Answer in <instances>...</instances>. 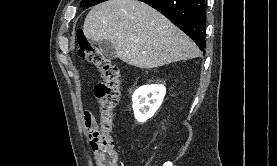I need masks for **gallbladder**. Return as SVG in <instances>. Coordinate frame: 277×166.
Masks as SVG:
<instances>
[{"label": "gallbladder", "instance_id": "1", "mask_svg": "<svg viewBox=\"0 0 277 166\" xmlns=\"http://www.w3.org/2000/svg\"><path fill=\"white\" fill-rule=\"evenodd\" d=\"M95 44L99 47L102 55H104L105 57L109 59H114L116 57V49L111 41L102 40L96 42Z\"/></svg>", "mask_w": 277, "mask_h": 166}]
</instances>
